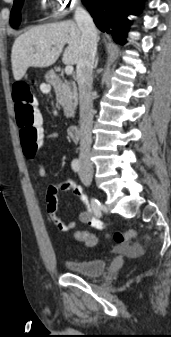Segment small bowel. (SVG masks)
<instances>
[{"label": "small bowel", "instance_id": "small-bowel-1", "mask_svg": "<svg viewBox=\"0 0 171 337\" xmlns=\"http://www.w3.org/2000/svg\"><path fill=\"white\" fill-rule=\"evenodd\" d=\"M60 134L58 132H52L44 136L43 143H47L50 140L58 139ZM38 175L41 178H45L47 175V168L44 164H39L37 169ZM59 192H71L74 196L78 197L81 202L85 205V209L79 213L76 220L64 221L57 215L58 210V200L57 195ZM46 210L47 213L57 227L58 230L62 232H70L74 230L78 223L87 224L95 229L102 228V222L98 219L93 208L89 205L88 196L85 194L83 189L75 184L72 180H65L60 183L50 184L46 193ZM74 241H79V239L74 236Z\"/></svg>", "mask_w": 171, "mask_h": 337}]
</instances>
